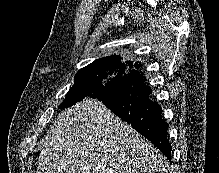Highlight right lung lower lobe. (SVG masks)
Segmentation results:
<instances>
[{
    "label": "right lung lower lobe",
    "mask_w": 219,
    "mask_h": 173,
    "mask_svg": "<svg viewBox=\"0 0 219 173\" xmlns=\"http://www.w3.org/2000/svg\"><path fill=\"white\" fill-rule=\"evenodd\" d=\"M151 92V88L145 85L141 72L134 71L126 76L123 85L116 91L93 94L90 97L102 101L171 160L172 147L167 138L168 124L161 117L160 105L149 99Z\"/></svg>",
    "instance_id": "98d812e1"
}]
</instances>
